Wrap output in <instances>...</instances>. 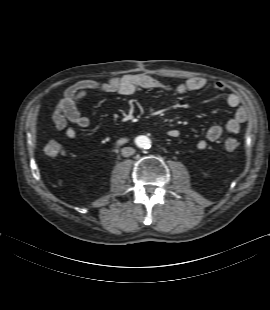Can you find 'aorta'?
Returning <instances> with one entry per match:
<instances>
[{"mask_svg":"<svg viewBox=\"0 0 270 310\" xmlns=\"http://www.w3.org/2000/svg\"><path fill=\"white\" fill-rule=\"evenodd\" d=\"M135 142L137 144L138 147L140 148H150L151 146V141L148 137L146 136H138L136 139H135Z\"/></svg>","mask_w":270,"mask_h":310,"instance_id":"762f6f07","label":"aorta"}]
</instances>
